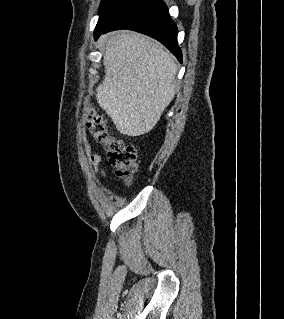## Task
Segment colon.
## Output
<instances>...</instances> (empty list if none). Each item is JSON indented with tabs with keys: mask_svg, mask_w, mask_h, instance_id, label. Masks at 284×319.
Here are the masks:
<instances>
[{
	"mask_svg": "<svg viewBox=\"0 0 284 319\" xmlns=\"http://www.w3.org/2000/svg\"><path fill=\"white\" fill-rule=\"evenodd\" d=\"M86 126L94 138L105 147L109 163L115 168L116 175L125 183H130L137 171L136 148L111 135L105 119L101 116L88 114Z\"/></svg>",
	"mask_w": 284,
	"mask_h": 319,
	"instance_id": "obj_1",
	"label": "colon"
}]
</instances>
